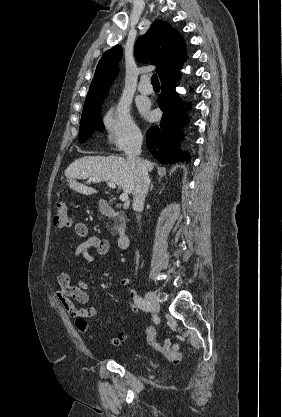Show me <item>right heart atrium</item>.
<instances>
[{"instance_id":"right-heart-atrium-1","label":"right heart atrium","mask_w":282,"mask_h":417,"mask_svg":"<svg viewBox=\"0 0 282 417\" xmlns=\"http://www.w3.org/2000/svg\"><path fill=\"white\" fill-rule=\"evenodd\" d=\"M104 124L111 142L121 150L134 148L140 138V133L131 119L125 105L119 103L107 113Z\"/></svg>"}]
</instances>
